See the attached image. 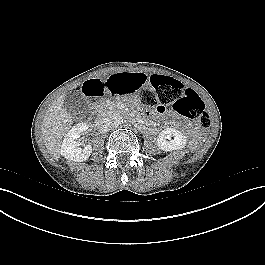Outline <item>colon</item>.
I'll return each instance as SVG.
<instances>
[{"mask_svg": "<svg viewBox=\"0 0 265 265\" xmlns=\"http://www.w3.org/2000/svg\"><path fill=\"white\" fill-rule=\"evenodd\" d=\"M149 86L139 91L140 102L152 111L171 106L178 114L196 120L202 127L211 126V117L201 97L181 82L155 73L149 77Z\"/></svg>", "mask_w": 265, "mask_h": 265, "instance_id": "obj_1", "label": "colon"}]
</instances>
